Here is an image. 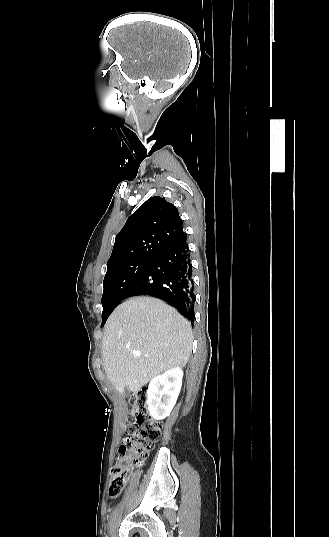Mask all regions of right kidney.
I'll return each instance as SVG.
<instances>
[{
	"instance_id": "1",
	"label": "right kidney",
	"mask_w": 329,
	"mask_h": 537,
	"mask_svg": "<svg viewBox=\"0 0 329 537\" xmlns=\"http://www.w3.org/2000/svg\"><path fill=\"white\" fill-rule=\"evenodd\" d=\"M183 378L180 367L172 368L155 376L147 390V405L155 420H163L170 415L179 395Z\"/></svg>"
}]
</instances>
